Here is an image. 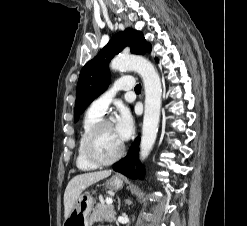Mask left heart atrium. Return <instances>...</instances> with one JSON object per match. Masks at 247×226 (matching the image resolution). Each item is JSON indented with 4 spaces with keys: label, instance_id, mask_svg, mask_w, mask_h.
<instances>
[{
    "label": "left heart atrium",
    "instance_id": "39dd6f15",
    "mask_svg": "<svg viewBox=\"0 0 247 226\" xmlns=\"http://www.w3.org/2000/svg\"><path fill=\"white\" fill-rule=\"evenodd\" d=\"M114 128L122 142L131 137L133 133V119L128 110L123 109L120 112Z\"/></svg>",
    "mask_w": 247,
    "mask_h": 226
}]
</instances>
